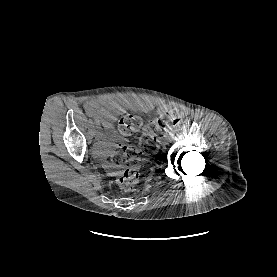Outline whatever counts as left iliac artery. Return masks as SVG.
<instances>
[{
  "label": "left iliac artery",
  "mask_w": 277,
  "mask_h": 277,
  "mask_svg": "<svg viewBox=\"0 0 277 277\" xmlns=\"http://www.w3.org/2000/svg\"><path fill=\"white\" fill-rule=\"evenodd\" d=\"M177 131H178V129L177 128H175L174 130H172L171 132H170V134H176L177 133Z\"/></svg>",
  "instance_id": "44dca946"
}]
</instances>
